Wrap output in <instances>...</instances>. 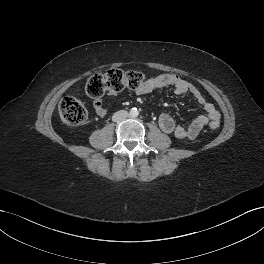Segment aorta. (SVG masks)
Returning <instances> with one entry per match:
<instances>
[{
  "mask_svg": "<svg viewBox=\"0 0 264 264\" xmlns=\"http://www.w3.org/2000/svg\"><path fill=\"white\" fill-rule=\"evenodd\" d=\"M129 115L133 118L137 117L139 115V111L137 108H132L129 112Z\"/></svg>",
  "mask_w": 264,
  "mask_h": 264,
  "instance_id": "1",
  "label": "aorta"
}]
</instances>
